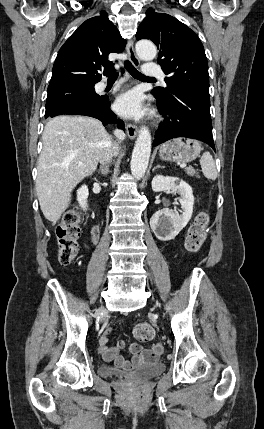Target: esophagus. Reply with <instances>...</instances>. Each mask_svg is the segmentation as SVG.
<instances>
[{
  "instance_id": "34e87169",
  "label": "esophagus",
  "mask_w": 264,
  "mask_h": 429,
  "mask_svg": "<svg viewBox=\"0 0 264 429\" xmlns=\"http://www.w3.org/2000/svg\"><path fill=\"white\" fill-rule=\"evenodd\" d=\"M126 51H127V54H128V57H129L131 63L134 66L138 67L139 64H140V60L138 59V57L135 54L134 47H133V42L132 41H129L127 43ZM126 132H127V135H128V137L130 139H135L136 136H137V133H138V128L134 124L127 123L126 124Z\"/></svg>"
}]
</instances>
